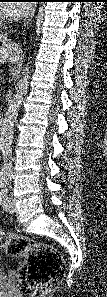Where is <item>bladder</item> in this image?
<instances>
[{
    "mask_svg": "<svg viewBox=\"0 0 107 297\" xmlns=\"http://www.w3.org/2000/svg\"><path fill=\"white\" fill-rule=\"evenodd\" d=\"M0 279H4V273L2 272V270L0 269Z\"/></svg>",
    "mask_w": 107,
    "mask_h": 297,
    "instance_id": "bladder-1",
    "label": "bladder"
}]
</instances>
